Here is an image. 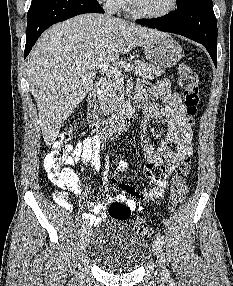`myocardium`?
Wrapping results in <instances>:
<instances>
[{"instance_id": "myocardium-1", "label": "myocardium", "mask_w": 233, "mask_h": 286, "mask_svg": "<svg viewBox=\"0 0 233 286\" xmlns=\"http://www.w3.org/2000/svg\"><path fill=\"white\" fill-rule=\"evenodd\" d=\"M127 5L129 10L142 18H146V19H160V18H164L166 16H169L170 14H172L178 7V0H172L171 1V6L164 12L162 13H148L145 12L143 10H141L135 3L134 0H126Z\"/></svg>"}]
</instances>
